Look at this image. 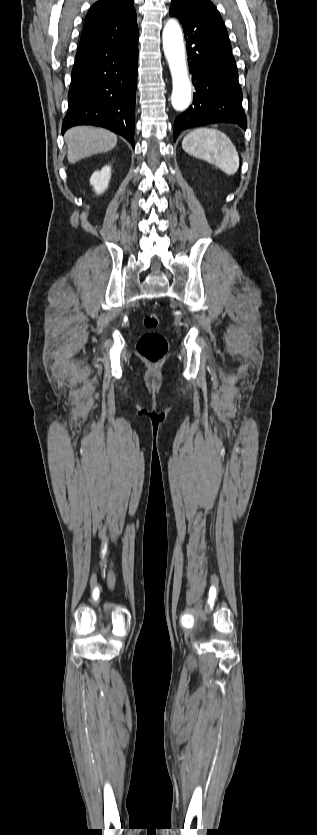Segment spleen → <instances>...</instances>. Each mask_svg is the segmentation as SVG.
Wrapping results in <instances>:
<instances>
[{
  "label": "spleen",
  "mask_w": 317,
  "mask_h": 835,
  "mask_svg": "<svg viewBox=\"0 0 317 835\" xmlns=\"http://www.w3.org/2000/svg\"><path fill=\"white\" fill-rule=\"evenodd\" d=\"M182 148L191 156L214 165L226 175L231 176L239 169L236 147L226 134L217 129H194L183 138Z\"/></svg>",
  "instance_id": "1"
}]
</instances>
